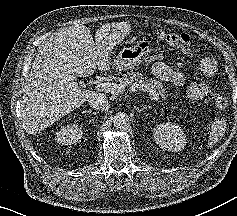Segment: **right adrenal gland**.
I'll list each match as a JSON object with an SVG mask.
<instances>
[{"label": "right adrenal gland", "mask_w": 237, "mask_h": 216, "mask_svg": "<svg viewBox=\"0 0 237 216\" xmlns=\"http://www.w3.org/2000/svg\"><path fill=\"white\" fill-rule=\"evenodd\" d=\"M89 113V114H93V115H96L97 113L96 112H94V111H92V110H88V111H83V113Z\"/></svg>", "instance_id": "obj_1"}]
</instances>
